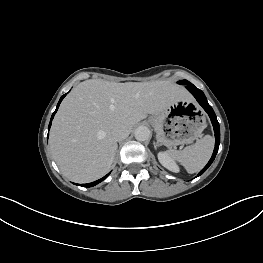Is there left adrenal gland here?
I'll return each mask as SVG.
<instances>
[{
	"instance_id": "1",
	"label": "left adrenal gland",
	"mask_w": 263,
	"mask_h": 263,
	"mask_svg": "<svg viewBox=\"0 0 263 263\" xmlns=\"http://www.w3.org/2000/svg\"><path fill=\"white\" fill-rule=\"evenodd\" d=\"M154 148L157 149V147L160 145L158 142H153Z\"/></svg>"
}]
</instances>
